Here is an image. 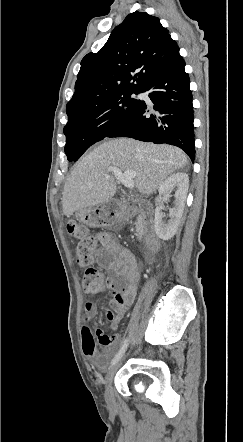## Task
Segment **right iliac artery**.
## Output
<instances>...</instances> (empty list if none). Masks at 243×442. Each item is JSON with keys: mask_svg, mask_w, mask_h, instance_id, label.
Masks as SVG:
<instances>
[{"mask_svg": "<svg viewBox=\"0 0 243 442\" xmlns=\"http://www.w3.org/2000/svg\"><path fill=\"white\" fill-rule=\"evenodd\" d=\"M127 345H128V339L125 340V342L122 345L121 349L119 350V352L116 354V356L112 360L111 366L116 364L120 360V358L123 356V354H124V352H125V350L127 348Z\"/></svg>", "mask_w": 243, "mask_h": 442, "instance_id": "right-iliac-artery-1", "label": "right iliac artery"}]
</instances>
